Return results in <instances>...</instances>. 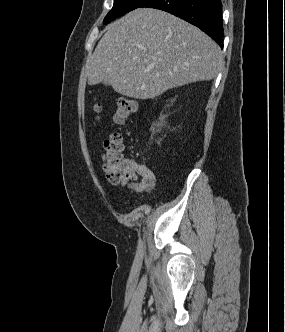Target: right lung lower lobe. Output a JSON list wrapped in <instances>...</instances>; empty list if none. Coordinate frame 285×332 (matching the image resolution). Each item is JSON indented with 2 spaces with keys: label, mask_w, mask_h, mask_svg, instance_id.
<instances>
[{
  "label": "right lung lower lobe",
  "mask_w": 285,
  "mask_h": 332,
  "mask_svg": "<svg viewBox=\"0 0 285 332\" xmlns=\"http://www.w3.org/2000/svg\"><path fill=\"white\" fill-rule=\"evenodd\" d=\"M139 7L156 8L180 17L223 47L221 0H146Z\"/></svg>",
  "instance_id": "1"
}]
</instances>
